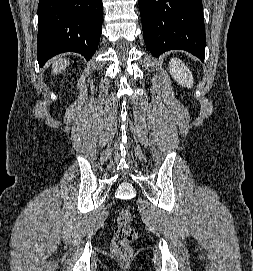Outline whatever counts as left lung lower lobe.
Returning <instances> with one entry per match:
<instances>
[{
  "label": "left lung lower lobe",
  "mask_w": 253,
  "mask_h": 271,
  "mask_svg": "<svg viewBox=\"0 0 253 271\" xmlns=\"http://www.w3.org/2000/svg\"><path fill=\"white\" fill-rule=\"evenodd\" d=\"M138 3L145 44L154 56L182 49L204 61L202 0H138Z\"/></svg>",
  "instance_id": "obj_1"
}]
</instances>
